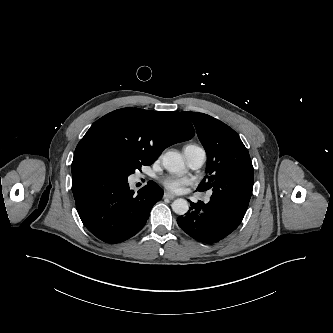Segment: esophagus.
<instances>
[{
    "instance_id": "esophagus-1",
    "label": "esophagus",
    "mask_w": 333,
    "mask_h": 333,
    "mask_svg": "<svg viewBox=\"0 0 333 333\" xmlns=\"http://www.w3.org/2000/svg\"><path fill=\"white\" fill-rule=\"evenodd\" d=\"M163 197L166 198V199H170V200L175 199V196L172 195V194H170V193H168V192H165L164 195H163Z\"/></svg>"
}]
</instances>
